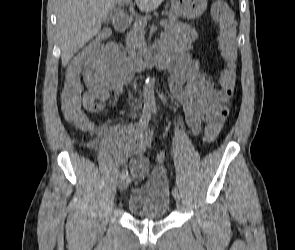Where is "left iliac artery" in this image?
<instances>
[{"label": "left iliac artery", "mask_w": 295, "mask_h": 250, "mask_svg": "<svg viewBox=\"0 0 295 250\" xmlns=\"http://www.w3.org/2000/svg\"><path fill=\"white\" fill-rule=\"evenodd\" d=\"M151 111H152V113H153L154 115H156V108H155V107H153V108L151 109ZM175 193H178V189H177V187H173V189H172V194H175Z\"/></svg>", "instance_id": "obj_1"}]
</instances>
